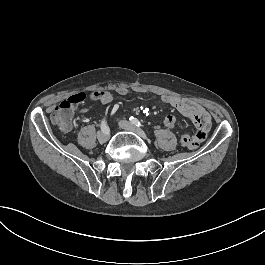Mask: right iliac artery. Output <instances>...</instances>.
<instances>
[{
	"label": "right iliac artery",
	"mask_w": 265,
	"mask_h": 265,
	"mask_svg": "<svg viewBox=\"0 0 265 265\" xmlns=\"http://www.w3.org/2000/svg\"><path fill=\"white\" fill-rule=\"evenodd\" d=\"M101 130H102L103 132L110 131L109 128H108V126L106 125V121H105V119L102 120V122H101Z\"/></svg>",
	"instance_id": "right-iliac-artery-1"
}]
</instances>
